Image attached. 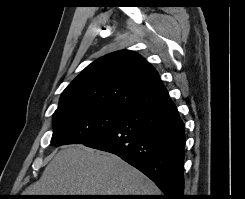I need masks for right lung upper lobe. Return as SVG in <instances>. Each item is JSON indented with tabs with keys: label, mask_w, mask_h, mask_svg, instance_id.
<instances>
[{
	"label": "right lung upper lobe",
	"mask_w": 245,
	"mask_h": 199,
	"mask_svg": "<svg viewBox=\"0 0 245 199\" xmlns=\"http://www.w3.org/2000/svg\"><path fill=\"white\" fill-rule=\"evenodd\" d=\"M168 97L151 64L133 51L121 50L87 66L62 92L58 109L95 104L130 113Z\"/></svg>",
	"instance_id": "1"
}]
</instances>
